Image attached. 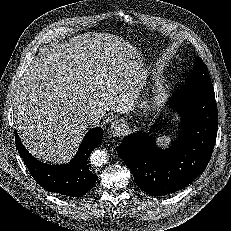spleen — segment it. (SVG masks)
<instances>
[{
	"label": "spleen",
	"instance_id": "spleen-1",
	"mask_svg": "<svg viewBox=\"0 0 231 231\" xmlns=\"http://www.w3.org/2000/svg\"><path fill=\"white\" fill-rule=\"evenodd\" d=\"M159 145L161 146H168L170 143V137L164 135L158 138Z\"/></svg>",
	"mask_w": 231,
	"mask_h": 231
}]
</instances>
